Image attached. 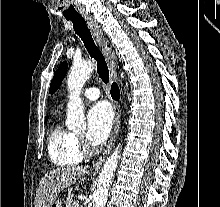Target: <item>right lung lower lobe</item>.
Wrapping results in <instances>:
<instances>
[{
    "instance_id": "right-lung-lower-lobe-1",
    "label": "right lung lower lobe",
    "mask_w": 220,
    "mask_h": 207,
    "mask_svg": "<svg viewBox=\"0 0 220 207\" xmlns=\"http://www.w3.org/2000/svg\"><path fill=\"white\" fill-rule=\"evenodd\" d=\"M111 96L113 99L118 100L119 99V88L116 83H113L111 87Z\"/></svg>"
}]
</instances>
